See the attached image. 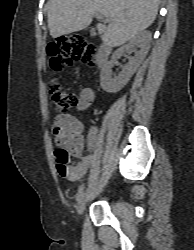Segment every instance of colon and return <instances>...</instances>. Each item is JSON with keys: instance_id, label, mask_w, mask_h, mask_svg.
Segmentation results:
<instances>
[{"instance_id": "colon-1", "label": "colon", "mask_w": 194, "mask_h": 250, "mask_svg": "<svg viewBox=\"0 0 194 250\" xmlns=\"http://www.w3.org/2000/svg\"><path fill=\"white\" fill-rule=\"evenodd\" d=\"M95 52L96 47L78 34L60 38L47 46L49 66L54 73H59L64 67L76 62L93 65ZM49 92L56 110L60 113H65L79 105L77 95L60 85L52 84ZM55 157L57 165L67 169L70 164L68 153L64 149H57Z\"/></svg>"}]
</instances>
